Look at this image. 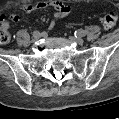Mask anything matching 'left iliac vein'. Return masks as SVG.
<instances>
[{"label":"left iliac vein","mask_w":119,"mask_h":119,"mask_svg":"<svg viewBox=\"0 0 119 119\" xmlns=\"http://www.w3.org/2000/svg\"><path fill=\"white\" fill-rule=\"evenodd\" d=\"M69 39L72 42H75L78 45H82L84 43V40L82 38H77V37H74V36H70Z\"/></svg>","instance_id":"left-iliac-vein-1"}]
</instances>
